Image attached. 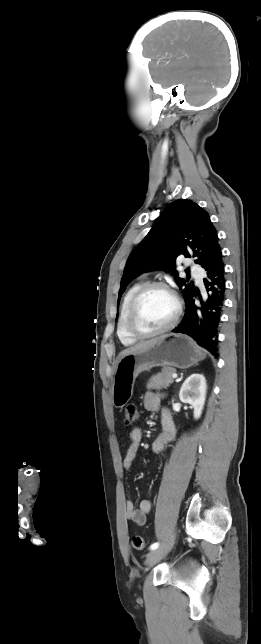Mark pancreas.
Instances as JSON below:
<instances>
[{
	"label": "pancreas",
	"instance_id": "1",
	"mask_svg": "<svg viewBox=\"0 0 261 644\" xmlns=\"http://www.w3.org/2000/svg\"><path fill=\"white\" fill-rule=\"evenodd\" d=\"M176 373V370L174 368L170 367H164L161 372L157 373L156 375L152 376L148 383H147V389H157L160 390L162 388H167L169 387L170 384L173 383V377L172 375Z\"/></svg>",
	"mask_w": 261,
	"mask_h": 644
}]
</instances>
